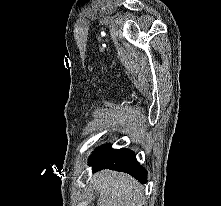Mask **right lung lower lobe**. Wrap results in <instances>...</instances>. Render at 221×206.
I'll use <instances>...</instances> for the list:
<instances>
[{
    "label": "right lung lower lobe",
    "mask_w": 221,
    "mask_h": 206,
    "mask_svg": "<svg viewBox=\"0 0 221 206\" xmlns=\"http://www.w3.org/2000/svg\"><path fill=\"white\" fill-rule=\"evenodd\" d=\"M93 171L112 169L125 172L141 183H147V171L140 166L135 154L129 149H112L109 144L98 147L90 156Z\"/></svg>",
    "instance_id": "1"
}]
</instances>
